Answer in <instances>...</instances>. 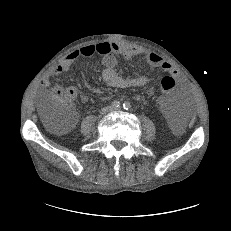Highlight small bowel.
<instances>
[{"label": "small bowel", "instance_id": "small-bowel-1", "mask_svg": "<svg viewBox=\"0 0 231 231\" xmlns=\"http://www.w3.org/2000/svg\"><path fill=\"white\" fill-rule=\"evenodd\" d=\"M100 55L102 57L101 62L103 65L102 79L107 86L114 88H136L143 87L147 85L148 78L145 75L138 76H123L119 74L115 66L117 64V56H123L125 58H135L144 55V52L135 47L126 46L120 43L111 42H101L94 45H88L80 49L72 51L64 59H62L41 81V86L43 88H48L51 84V78L53 76L59 75L64 71L70 69L73 63L80 57H89L92 55ZM146 62L153 66L158 67L172 75L175 79L179 77V71L170 62L166 61L157 53H148L144 55ZM83 101L88 98L85 94L80 95ZM169 103V98L162 97L159 100L160 107L162 111L167 113V104ZM75 119L72 123L74 125Z\"/></svg>", "mask_w": 231, "mask_h": 231}]
</instances>
